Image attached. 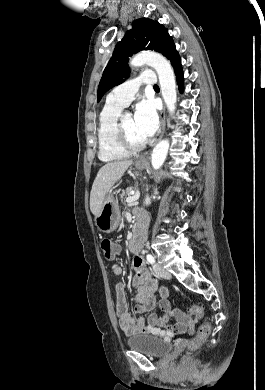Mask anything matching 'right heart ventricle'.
I'll return each instance as SVG.
<instances>
[{"label":"right heart ventricle","instance_id":"right-heart-ventricle-1","mask_svg":"<svg viewBox=\"0 0 265 390\" xmlns=\"http://www.w3.org/2000/svg\"><path fill=\"white\" fill-rule=\"evenodd\" d=\"M122 109L119 105L106 102L100 112L97 130L98 156L104 162L120 161L129 155L119 145L116 137V125Z\"/></svg>","mask_w":265,"mask_h":390}]
</instances>
